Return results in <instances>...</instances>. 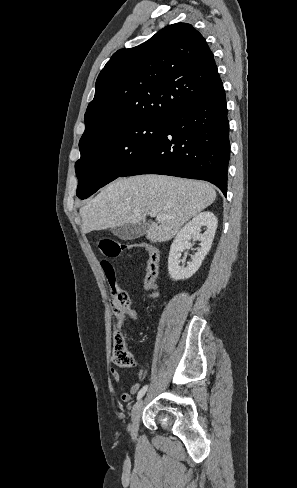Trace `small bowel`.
<instances>
[{
    "label": "small bowel",
    "mask_w": 297,
    "mask_h": 488,
    "mask_svg": "<svg viewBox=\"0 0 297 488\" xmlns=\"http://www.w3.org/2000/svg\"><path fill=\"white\" fill-rule=\"evenodd\" d=\"M138 319V313L136 311H129L125 316L120 318L119 320V325H123L128 321H136ZM111 377L118 386L122 392H121V399L123 402H129L131 400V396L136 394L138 391H140V383H134L133 385L130 386L128 391H125L123 387L121 386V375L120 372L116 368H111ZM146 376V371L145 370H140L138 373V379L141 381L145 378ZM140 389V390H139Z\"/></svg>",
    "instance_id": "small-bowel-1"
}]
</instances>
